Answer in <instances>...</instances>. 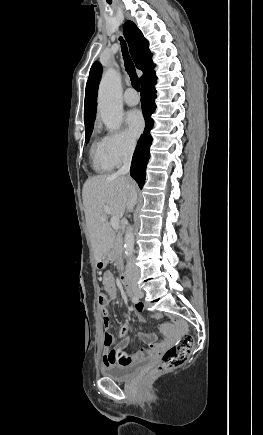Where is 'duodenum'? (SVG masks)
Masks as SVG:
<instances>
[{"instance_id": "1", "label": "duodenum", "mask_w": 263, "mask_h": 435, "mask_svg": "<svg viewBox=\"0 0 263 435\" xmlns=\"http://www.w3.org/2000/svg\"><path fill=\"white\" fill-rule=\"evenodd\" d=\"M120 279H121V282H122L127 294L130 296L132 294V288H131V285H130V282H129L127 275L125 273H121Z\"/></svg>"}]
</instances>
